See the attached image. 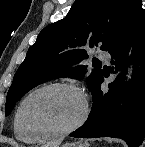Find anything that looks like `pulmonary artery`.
<instances>
[{
    "label": "pulmonary artery",
    "instance_id": "e3ab8cb5",
    "mask_svg": "<svg viewBox=\"0 0 145 147\" xmlns=\"http://www.w3.org/2000/svg\"><path fill=\"white\" fill-rule=\"evenodd\" d=\"M97 56L99 59L105 61V62H109L111 57L108 53L103 52V51H98Z\"/></svg>",
    "mask_w": 145,
    "mask_h": 147
}]
</instances>
